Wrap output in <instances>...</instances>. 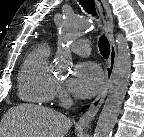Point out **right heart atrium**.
Listing matches in <instances>:
<instances>
[{
	"mask_svg": "<svg viewBox=\"0 0 144 137\" xmlns=\"http://www.w3.org/2000/svg\"><path fill=\"white\" fill-rule=\"evenodd\" d=\"M55 96L62 104H65L68 101V96L61 83L57 84Z\"/></svg>",
	"mask_w": 144,
	"mask_h": 137,
	"instance_id": "1",
	"label": "right heart atrium"
}]
</instances>
